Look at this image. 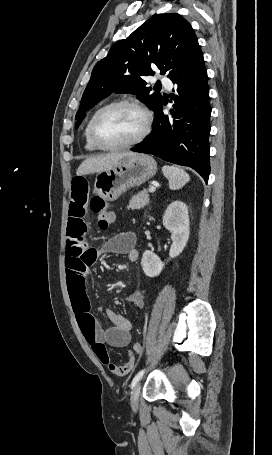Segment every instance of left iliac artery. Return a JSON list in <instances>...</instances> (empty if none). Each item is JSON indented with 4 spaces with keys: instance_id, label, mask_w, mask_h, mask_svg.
I'll return each mask as SVG.
<instances>
[{
    "instance_id": "1",
    "label": "left iliac artery",
    "mask_w": 272,
    "mask_h": 455,
    "mask_svg": "<svg viewBox=\"0 0 272 455\" xmlns=\"http://www.w3.org/2000/svg\"><path fill=\"white\" fill-rule=\"evenodd\" d=\"M145 372V369H142L141 371H139L135 377L133 378L132 380V383H131V388L133 389L135 387V385L137 384V382L141 379V377L143 376Z\"/></svg>"
}]
</instances>
